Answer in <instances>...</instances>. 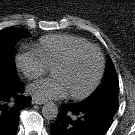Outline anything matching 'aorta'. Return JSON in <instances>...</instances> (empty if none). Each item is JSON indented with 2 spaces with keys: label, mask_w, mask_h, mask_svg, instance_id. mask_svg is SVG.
<instances>
[{
  "label": "aorta",
  "mask_w": 135,
  "mask_h": 135,
  "mask_svg": "<svg viewBox=\"0 0 135 135\" xmlns=\"http://www.w3.org/2000/svg\"><path fill=\"white\" fill-rule=\"evenodd\" d=\"M58 107L56 104L53 102H48L43 105L42 107V114L43 117L48 119V120H53L57 117L58 115Z\"/></svg>",
  "instance_id": "1"
}]
</instances>
